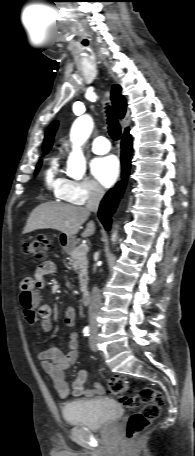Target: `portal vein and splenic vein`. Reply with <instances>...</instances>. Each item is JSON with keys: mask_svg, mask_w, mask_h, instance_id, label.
<instances>
[{"mask_svg": "<svg viewBox=\"0 0 195 456\" xmlns=\"http://www.w3.org/2000/svg\"><path fill=\"white\" fill-rule=\"evenodd\" d=\"M81 247L83 248L84 251H88V249H89L88 246H87L86 244L81 245Z\"/></svg>", "mask_w": 195, "mask_h": 456, "instance_id": "obj_1", "label": "portal vein and splenic vein"}]
</instances>
